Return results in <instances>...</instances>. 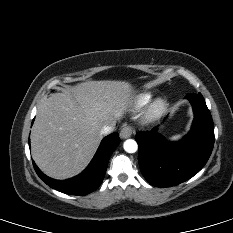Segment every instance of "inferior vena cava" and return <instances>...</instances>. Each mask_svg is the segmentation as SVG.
<instances>
[{
    "mask_svg": "<svg viewBox=\"0 0 233 233\" xmlns=\"http://www.w3.org/2000/svg\"><path fill=\"white\" fill-rule=\"evenodd\" d=\"M116 122H113L111 125H104L101 129L103 135H108L115 130Z\"/></svg>",
    "mask_w": 233,
    "mask_h": 233,
    "instance_id": "inferior-vena-cava-1",
    "label": "inferior vena cava"
}]
</instances>
